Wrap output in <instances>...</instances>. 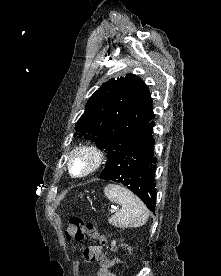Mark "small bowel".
Instances as JSON below:
<instances>
[{"label": "small bowel", "mask_w": 221, "mask_h": 276, "mask_svg": "<svg viewBox=\"0 0 221 276\" xmlns=\"http://www.w3.org/2000/svg\"><path fill=\"white\" fill-rule=\"evenodd\" d=\"M83 256L87 262L93 265L97 276H115L107 267L109 260L100 246L94 245L87 247L83 252ZM95 263H98L99 267H96L94 265Z\"/></svg>", "instance_id": "small-bowel-1"}]
</instances>
